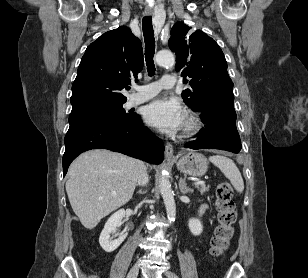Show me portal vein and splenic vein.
I'll return each mask as SVG.
<instances>
[{
    "mask_svg": "<svg viewBox=\"0 0 308 278\" xmlns=\"http://www.w3.org/2000/svg\"><path fill=\"white\" fill-rule=\"evenodd\" d=\"M204 184H205L204 181H196V182L194 183V185H204Z\"/></svg>",
    "mask_w": 308,
    "mask_h": 278,
    "instance_id": "1",
    "label": "portal vein and splenic vein"
}]
</instances>
